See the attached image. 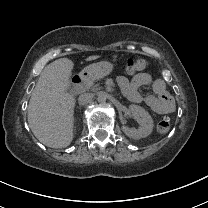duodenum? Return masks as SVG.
I'll return each instance as SVG.
<instances>
[{"mask_svg":"<svg viewBox=\"0 0 208 208\" xmlns=\"http://www.w3.org/2000/svg\"><path fill=\"white\" fill-rule=\"evenodd\" d=\"M87 82L85 76H75L72 80V91L73 93H79L83 90Z\"/></svg>","mask_w":208,"mask_h":208,"instance_id":"duodenum-1","label":"duodenum"}]
</instances>
